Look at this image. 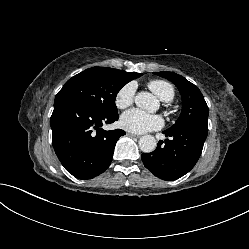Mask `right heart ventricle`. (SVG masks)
<instances>
[{"instance_id":"obj_1","label":"right heart ventricle","mask_w":249,"mask_h":249,"mask_svg":"<svg viewBox=\"0 0 249 249\" xmlns=\"http://www.w3.org/2000/svg\"><path fill=\"white\" fill-rule=\"evenodd\" d=\"M148 88L162 101L170 102L174 99L175 89L165 80H152L148 83Z\"/></svg>"}]
</instances>
